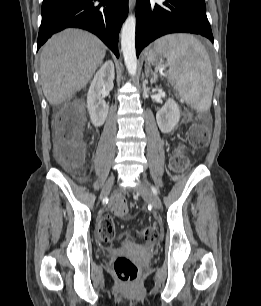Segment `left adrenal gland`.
Returning a JSON list of instances; mask_svg holds the SVG:
<instances>
[{
    "label": "left adrenal gland",
    "instance_id": "a2214340",
    "mask_svg": "<svg viewBox=\"0 0 261 306\" xmlns=\"http://www.w3.org/2000/svg\"><path fill=\"white\" fill-rule=\"evenodd\" d=\"M149 74H151L152 78L150 79V83L152 84L156 80V74L152 71L150 66L146 63L145 64V75L148 78Z\"/></svg>",
    "mask_w": 261,
    "mask_h": 306
}]
</instances>
